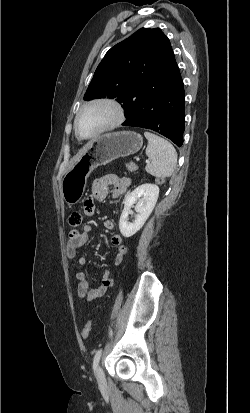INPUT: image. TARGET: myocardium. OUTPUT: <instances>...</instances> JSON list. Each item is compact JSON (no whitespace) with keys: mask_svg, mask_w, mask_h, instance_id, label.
Instances as JSON below:
<instances>
[{"mask_svg":"<svg viewBox=\"0 0 250 413\" xmlns=\"http://www.w3.org/2000/svg\"><path fill=\"white\" fill-rule=\"evenodd\" d=\"M98 105H104V106L110 107L114 111V117L110 122H108L106 125L100 128L97 132L91 135H88V136H83L79 132V129H78V120L84 110H86L89 107L98 106ZM124 121H125V109L118 100L112 97H98V98H94L84 103L80 107L74 119V130H75V134L77 135L79 139L90 140V139L97 138L107 132H110L120 127Z\"/></svg>","mask_w":250,"mask_h":413,"instance_id":"1","label":"myocardium"}]
</instances>
